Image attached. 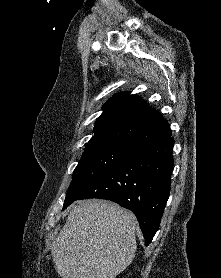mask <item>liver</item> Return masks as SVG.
Segmentation results:
<instances>
[{
	"label": "liver",
	"mask_w": 221,
	"mask_h": 278,
	"mask_svg": "<svg viewBox=\"0 0 221 278\" xmlns=\"http://www.w3.org/2000/svg\"><path fill=\"white\" fill-rule=\"evenodd\" d=\"M134 214L116 203L86 200L74 204L51 253L62 278H115L136 252Z\"/></svg>",
	"instance_id": "6515ba94"
}]
</instances>
